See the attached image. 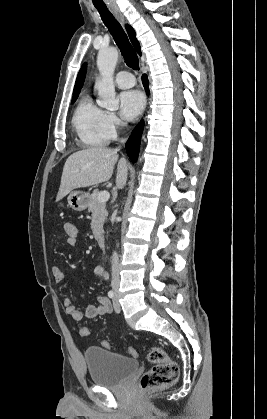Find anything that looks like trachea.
I'll list each match as a JSON object with an SVG mask.
<instances>
[{"label": "trachea", "instance_id": "trachea-1", "mask_svg": "<svg viewBox=\"0 0 267 419\" xmlns=\"http://www.w3.org/2000/svg\"><path fill=\"white\" fill-rule=\"evenodd\" d=\"M98 10L104 24L110 31L111 35L113 36L117 46L119 47L126 64L134 69H139V59L134 51L129 39L124 32L121 25L118 21L114 18V16L110 13L106 6H95Z\"/></svg>", "mask_w": 267, "mask_h": 419}]
</instances>
